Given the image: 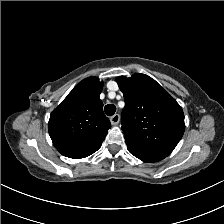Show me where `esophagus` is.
<instances>
[{"label": "esophagus", "mask_w": 224, "mask_h": 224, "mask_svg": "<svg viewBox=\"0 0 224 224\" xmlns=\"http://www.w3.org/2000/svg\"><path fill=\"white\" fill-rule=\"evenodd\" d=\"M120 121V116L119 114H115L112 117H110V122L112 125H117Z\"/></svg>", "instance_id": "34e87169"}]
</instances>
